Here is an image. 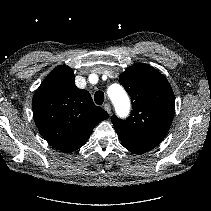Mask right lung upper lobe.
I'll use <instances>...</instances> for the list:
<instances>
[{
    "mask_svg": "<svg viewBox=\"0 0 211 211\" xmlns=\"http://www.w3.org/2000/svg\"><path fill=\"white\" fill-rule=\"evenodd\" d=\"M34 121L54 148L72 152L82 147L93 128L109 117L95 106L87 90L75 85L68 66L56 67L44 79L32 99Z\"/></svg>",
    "mask_w": 211,
    "mask_h": 211,
    "instance_id": "right-lung-upper-lobe-1",
    "label": "right lung upper lobe"
}]
</instances>
